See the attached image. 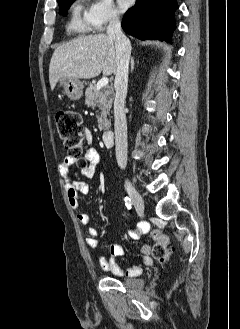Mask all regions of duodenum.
I'll return each mask as SVG.
<instances>
[{
  "instance_id": "410a0bca",
  "label": "duodenum",
  "mask_w": 240,
  "mask_h": 329,
  "mask_svg": "<svg viewBox=\"0 0 240 329\" xmlns=\"http://www.w3.org/2000/svg\"><path fill=\"white\" fill-rule=\"evenodd\" d=\"M102 140L106 146L111 147L114 143V132L113 130H106L102 134Z\"/></svg>"
}]
</instances>
